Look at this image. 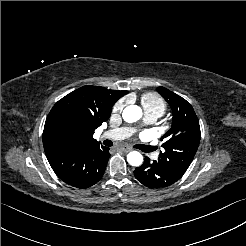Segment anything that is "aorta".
Wrapping results in <instances>:
<instances>
[{"instance_id": "aorta-1", "label": "aorta", "mask_w": 246, "mask_h": 246, "mask_svg": "<svg viewBox=\"0 0 246 246\" xmlns=\"http://www.w3.org/2000/svg\"><path fill=\"white\" fill-rule=\"evenodd\" d=\"M142 116V110L137 105L127 106L122 113L124 121L133 123L138 121ZM127 161L131 166L138 167L143 163V156L137 151H131L127 155Z\"/></svg>"}]
</instances>
